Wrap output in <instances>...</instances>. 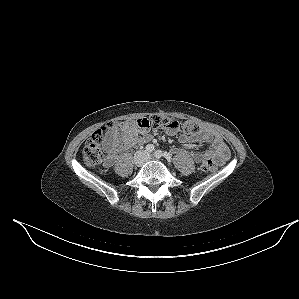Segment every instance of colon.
Listing matches in <instances>:
<instances>
[{"instance_id":"5ec220e1","label":"colon","mask_w":299,"mask_h":299,"mask_svg":"<svg viewBox=\"0 0 299 299\" xmlns=\"http://www.w3.org/2000/svg\"><path fill=\"white\" fill-rule=\"evenodd\" d=\"M127 123L130 127L138 130H148L154 127L163 128L168 132H176L180 127L178 121L163 115H153L147 118L131 120ZM119 125L116 122L108 123L91 135L82 151V158L87 166L94 167L103 162L102 146L111 135L116 133ZM183 130L188 135H196L201 128L195 121L189 120L183 124ZM201 169L204 172H212L216 169V165L212 162H205L201 165Z\"/></svg>"}]
</instances>
